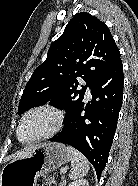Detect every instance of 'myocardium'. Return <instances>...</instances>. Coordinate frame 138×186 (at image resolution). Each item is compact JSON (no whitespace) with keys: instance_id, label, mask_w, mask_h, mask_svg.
Masks as SVG:
<instances>
[{"instance_id":"myocardium-1","label":"myocardium","mask_w":138,"mask_h":186,"mask_svg":"<svg viewBox=\"0 0 138 186\" xmlns=\"http://www.w3.org/2000/svg\"><path fill=\"white\" fill-rule=\"evenodd\" d=\"M41 110L50 111L56 116L57 121H56L55 126L49 132H47V133H45L41 136H38V137L33 138L31 140H23L20 136V129H21L24 121L26 120V118L30 114H32L34 112H37V111H41ZM64 120H65L64 112L60 108H58V107H56L52 104H41V105L34 106V107L30 108L29 110H27L22 115V117L19 121V124L17 126V130H16L17 138L23 144H32V143H36V142H39V141L49 139V138L53 137L54 135H56L62 129V127L64 125Z\"/></svg>"}]
</instances>
